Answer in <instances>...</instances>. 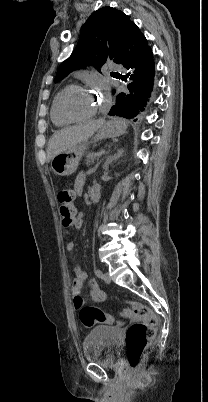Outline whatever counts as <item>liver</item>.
Here are the masks:
<instances>
[{
    "label": "liver",
    "mask_w": 208,
    "mask_h": 402,
    "mask_svg": "<svg viewBox=\"0 0 208 402\" xmlns=\"http://www.w3.org/2000/svg\"><path fill=\"white\" fill-rule=\"evenodd\" d=\"M103 124H105V120L101 118V120H93V122L80 124V126H69V128H63V130L55 132L53 138L49 140L47 150L48 162H50L54 156L60 154V152H65V150H69L72 146L86 142Z\"/></svg>",
    "instance_id": "liver-1"
}]
</instances>
